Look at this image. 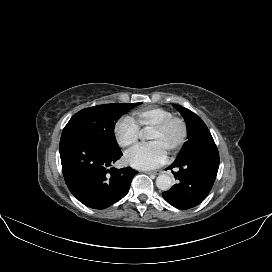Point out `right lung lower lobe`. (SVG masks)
<instances>
[{"mask_svg": "<svg viewBox=\"0 0 272 272\" xmlns=\"http://www.w3.org/2000/svg\"><path fill=\"white\" fill-rule=\"evenodd\" d=\"M59 149L67 187L90 208L105 209L119 201L138 173L131 167L113 168L121 150L110 149L91 137L61 136Z\"/></svg>", "mask_w": 272, "mask_h": 272, "instance_id": "right-lung-lower-lobe-1", "label": "right lung lower lobe"}]
</instances>
